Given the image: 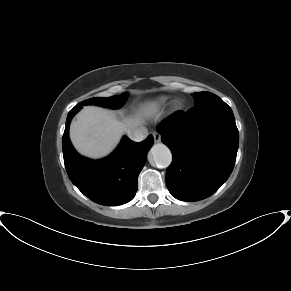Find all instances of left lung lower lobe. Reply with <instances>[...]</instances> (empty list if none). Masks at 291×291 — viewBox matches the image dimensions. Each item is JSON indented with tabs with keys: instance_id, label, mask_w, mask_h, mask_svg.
<instances>
[{
	"instance_id": "obj_1",
	"label": "left lung lower lobe",
	"mask_w": 291,
	"mask_h": 291,
	"mask_svg": "<svg viewBox=\"0 0 291 291\" xmlns=\"http://www.w3.org/2000/svg\"><path fill=\"white\" fill-rule=\"evenodd\" d=\"M173 155L166 171L171 195L182 201L211 196L230 176L239 146L231 108L220 98L177 111L157 126Z\"/></svg>"
}]
</instances>
